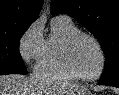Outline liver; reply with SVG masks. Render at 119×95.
<instances>
[{
  "mask_svg": "<svg viewBox=\"0 0 119 95\" xmlns=\"http://www.w3.org/2000/svg\"><path fill=\"white\" fill-rule=\"evenodd\" d=\"M79 87L75 83L40 74L29 77L20 74L0 76V95H66Z\"/></svg>",
  "mask_w": 119,
  "mask_h": 95,
  "instance_id": "1",
  "label": "liver"
}]
</instances>
